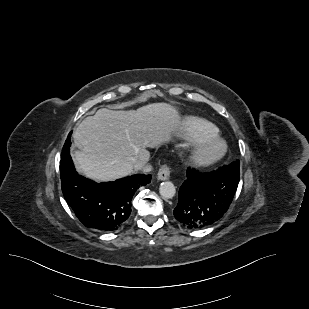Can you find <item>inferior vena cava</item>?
<instances>
[{"mask_svg": "<svg viewBox=\"0 0 309 309\" xmlns=\"http://www.w3.org/2000/svg\"><path fill=\"white\" fill-rule=\"evenodd\" d=\"M130 161L136 169L143 167V163L138 159V157H132Z\"/></svg>", "mask_w": 309, "mask_h": 309, "instance_id": "inferior-vena-cava-1", "label": "inferior vena cava"}]
</instances>
